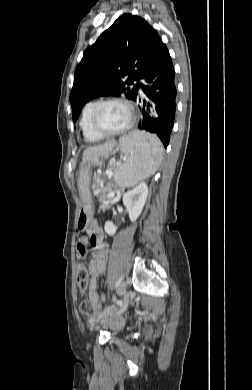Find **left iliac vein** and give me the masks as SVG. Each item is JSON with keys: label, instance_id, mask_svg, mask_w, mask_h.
Here are the masks:
<instances>
[{"label": "left iliac vein", "instance_id": "4c4485c4", "mask_svg": "<svg viewBox=\"0 0 252 390\" xmlns=\"http://www.w3.org/2000/svg\"><path fill=\"white\" fill-rule=\"evenodd\" d=\"M118 293L124 294L123 299H122V304L118 309H113L111 308L110 310L105 311V316L101 319L97 320V323H102L105 322L108 318H110L112 321L119 320L121 315L125 312V310L128 307L129 304V296L126 293V283H123L119 288H118Z\"/></svg>", "mask_w": 252, "mask_h": 390}]
</instances>
